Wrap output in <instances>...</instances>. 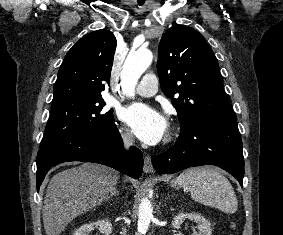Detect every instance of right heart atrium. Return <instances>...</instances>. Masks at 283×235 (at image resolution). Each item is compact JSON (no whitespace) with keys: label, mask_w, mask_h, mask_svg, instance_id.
<instances>
[{"label":"right heart atrium","mask_w":283,"mask_h":235,"mask_svg":"<svg viewBox=\"0 0 283 235\" xmlns=\"http://www.w3.org/2000/svg\"><path fill=\"white\" fill-rule=\"evenodd\" d=\"M120 134L124 141L131 142L133 140V134L131 130L125 126L120 127Z\"/></svg>","instance_id":"d8ad5b80"}]
</instances>
